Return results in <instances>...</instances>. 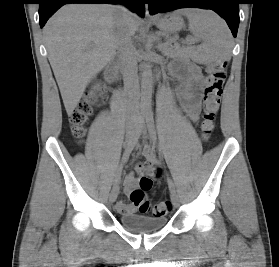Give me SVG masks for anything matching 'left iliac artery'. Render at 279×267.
<instances>
[{
    "label": "left iliac artery",
    "mask_w": 279,
    "mask_h": 267,
    "mask_svg": "<svg viewBox=\"0 0 279 267\" xmlns=\"http://www.w3.org/2000/svg\"><path fill=\"white\" fill-rule=\"evenodd\" d=\"M146 122H147V127L150 133L151 140L154 143H156L157 136H156L155 126H154V119L151 112L146 114ZM168 186L171 192H175V185L171 179H168Z\"/></svg>",
    "instance_id": "44dca946"
}]
</instances>
